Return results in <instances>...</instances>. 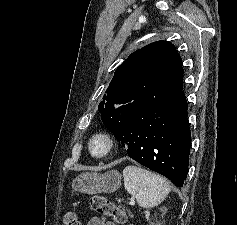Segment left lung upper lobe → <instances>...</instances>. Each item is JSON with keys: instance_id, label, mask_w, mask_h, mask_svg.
I'll list each match as a JSON object with an SVG mask.
<instances>
[{"instance_id": "5c2ea615", "label": "left lung upper lobe", "mask_w": 237, "mask_h": 225, "mask_svg": "<svg viewBox=\"0 0 237 225\" xmlns=\"http://www.w3.org/2000/svg\"><path fill=\"white\" fill-rule=\"evenodd\" d=\"M183 72L175 46L167 41L132 53L116 69L98 106L104 125L116 136L136 113L181 92Z\"/></svg>"}]
</instances>
